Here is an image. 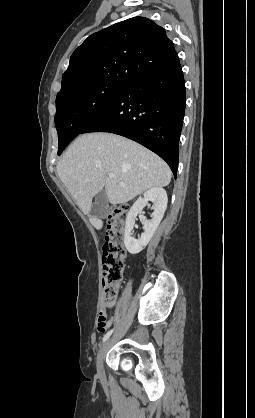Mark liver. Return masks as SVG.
<instances>
[{
	"mask_svg": "<svg viewBox=\"0 0 255 418\" xmlns=\"http://www.w3.org/2000/svg\"><path fill=\"white\" fill-rule=\"evenodd\" d=\"M57 173L84 214H89L93 197L104 187L111 204H123L148 189L167 186L172 176L158 155L111 133L79 136L58 162ZM92 223L97 229L103 226L97 218Z\"/></svg>",
	"mask_w": 255,
	"mask_h": 418,
	"instance_id": "liver-1",
	"label": "liver"
}]
</instances>
